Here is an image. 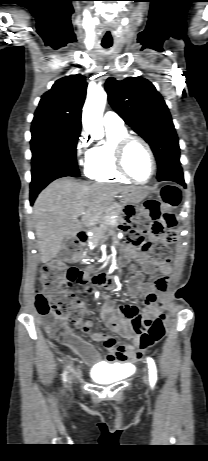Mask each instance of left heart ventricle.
I'll return each mask as SVG.
<instances>
[{"label":"left heart ventricle","mask_w":208,"mask_h":461,"mask_svg":"<svg viewBox=\"0 0 208 461\" xmlns=\"http://www.w3.org/2000/svg\"><path fill=\"white\" fill-rule=\"evenodd\" d=\"M126 166L138 180H146L151 173V161L146 149L137 142L132 143L126 154Z\"/></svg>","instance_id":"b2bd125f"}]
</instances>
